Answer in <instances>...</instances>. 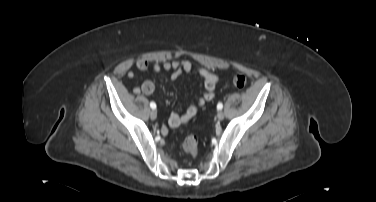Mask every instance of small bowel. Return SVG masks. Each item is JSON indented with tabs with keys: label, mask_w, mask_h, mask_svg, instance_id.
I'll return each mask as SVG.
<instances>
[{
	"label": "small bowel",
	"mask_w": 376,
	"mask_h": 202,
	"mask_svg": "<svg viewBox=\"0 0 376 202\" xmlns=\"http://www.w3.org/2000/svg\"><path fill=\"white\" fill-rule=\"evenodd\" d=\"M136 68L139 71H146L149 68V63L145 59H139L136 62ZM152 69L156 72L161 70L172 71L169 79L171 84L183 74H188L190 72H194L201 80L200 86L202 88V92L197 102L189 105L183 113H173L170 115L168 124L172 128H176L187 123L197 114L200 107L214 98L218 77L206 68L193 67L189 61L181 60L155 63L153 64ZM134 75L135 73L132 70L127 72V76L130 79H132ZM154 91L155 86L150 80L145 81L141 87L133 88V93L135 94L143 93L146 95H151L154 93Z\"/></svg>",
	"instance_id": "obj_1"
}]
</instances>
